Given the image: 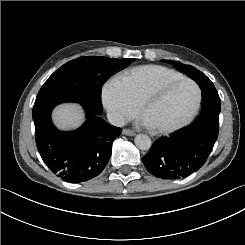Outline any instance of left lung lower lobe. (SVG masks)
Here are the masks:
<instances>
[{"label": "left lung lower lobe", "instance_id": "1", "mask_svg": "<svg viewBox=\"0 0 245 245\" xmlns=\"http://www.w3.org/2000/svg\"><path fill=\"white\" fill-rule=\"evenodd\" d=\"M202 90V112L180 132L153 143L142 158L146 169L167 180L189 176L204 165L219 133L221 101L210 79L197 82Z\"/></svg>", "mask_w": 245, "mask_h": 245}]
</instances>
